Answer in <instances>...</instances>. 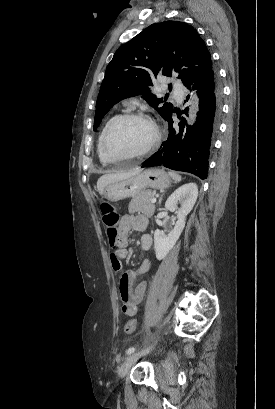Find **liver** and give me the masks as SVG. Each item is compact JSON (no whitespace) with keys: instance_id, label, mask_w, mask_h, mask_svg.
<instances>
[{"instance_id":"liver-1","label":"liver","mask_w":275,"mask_h":409,"mask_svg":"<svg viewBox=\"0 0 275 409\" xmlns=\"http://www.w3.org/2000/svg\"><path fill=\"white\" fill-rule=\"evenodd\" d=\"M141 172V168H133L130 172H114V174H103L97 180V190L99 194H103V190L107 184L110 182H117V180H124V178H129V176H135V174H139Z\"/></svg>"}]
</instances>
